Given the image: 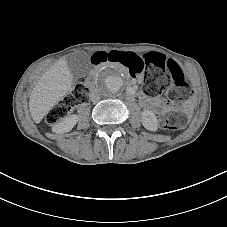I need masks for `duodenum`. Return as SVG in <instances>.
Returning <instances> with one entry per match:
<instances>
[{
	"label": "duodenum",
	"instance_id": "1",
	"mask_svg": "<svg viewBox=\"0 0 227 227\" xmlns=\"http://www.w3.org/2000/svg\"><path fill=\"white\" fill-rule=\"evenodd\" d=\"M127 92H129L133 97H136V99H138V101L140 102V104L142 106L146 105L145 96H138L137 95V91L135 90L133 83H129L128 88H127Z\"/></svg>",
	"mask_w": 227,
	"mask_h": 227
}]
</instances>
